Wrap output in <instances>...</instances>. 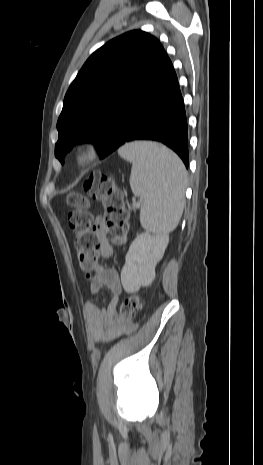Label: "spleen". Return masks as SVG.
<instances>
[{
	"label": "spleen",
	"instance_id": "spleen-1",
	"mask_svg": "<svg viewBox=\"0 0 263 465\" xmlns=\"http://www.w3.org/2000/svg\"><path fill=\"white\" fill-rule=\"evenodd\" d=\"M132 163L130 186L142 198L140 223L154 234L173 231L182 216L187 172L181 159L164 146L133 142L119 149Z\"/></svg>",
	"mask_w": 263,
	"mask_h": 465
}]
</instances>
